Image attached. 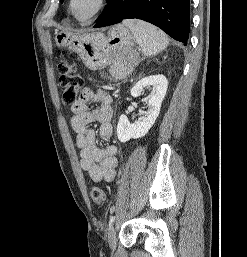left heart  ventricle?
Instances as JSON below:
<instances>
[{"label": "left heart ventricle", "mask_w": 247, "mask_h": 257, "mask_svg": "<svg viewBox=\"0 0 247 257\" xmlns=\"http://www.w3.org/2000/svg\"><path fill=\"white\" fill-rule=\"evenodd\" d=\"M95 5L96 0H75L73 9L77 16L86 18L94 10Z\"/></svg>", "instance_id": "left-heart-ventricle-1"}]
</instances>
